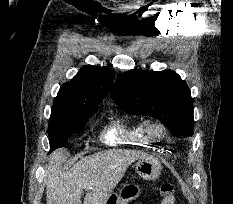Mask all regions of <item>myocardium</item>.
<instances>
[{
    "label": "myocardium",
    "mask_w": 233,
    "mask_h": 204,
    "mask_svg": "<svg viewBox=\"0 0 233 204\" xmlns=\"http://www.w3.org/2000/svg\"><path fill=\"white\" fill-rule=\"evenodd\" d=\"M142 130L150 139H162L167 135L166 125L154 118L145 119L142 123Z\"/></svg>",
    "instance_id": "myocardium-1"
}]
</instances>
